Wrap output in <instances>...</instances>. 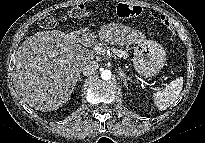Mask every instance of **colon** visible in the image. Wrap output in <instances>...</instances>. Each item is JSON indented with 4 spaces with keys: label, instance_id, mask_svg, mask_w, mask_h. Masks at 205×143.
<instances>
[{
    "label": "colon",
    "instance_id": "obj_1",
    "mask_svg": "<svg viewBox=\"0 0 205 143\" xmlns=\"http://www.w3.org/2000/svg\"><path fill=\"white\" fill-rule=\"evenodd\" d=\"M141 8L137 6H132L128 4H119L116 8V13L121 18H129L133 16H138L141 13ZM68 14L73 19H81L87 15L86 8L83 4H75L71 6L68 10ZM165 25L169 26L167 19L162 17ZM39 24L42 28L50 29L56 24L55 17L52 14H46L40 18Z\"/></svg>",
    "mask_w": 205,
    "mask_h": 143
}]
</instances>
